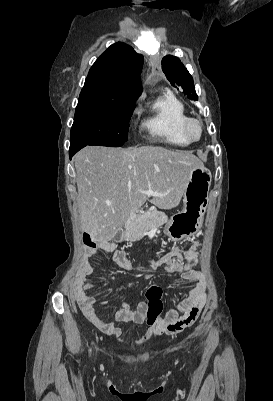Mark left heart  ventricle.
Returning a JSON list of instances; mask_svg holds the SVG:
<instances>
[{
	"mask_svg": "<svg viewBox=\"0 0 273 401\" xmlns=\"http://www.w3.org/2000/svg\"><path fill=\"white\" fill-rule=\"evenodd\" d=\"M199 135H200L199 126H198L197 124H194V125L191 127V136H192L193 138H198Z\"/></svg>",
	"mask_w": 273,
	"mask_h": 401,
	"instance_id": "obj_1",
	"label": "left heart ventricle"
}]
</instances>
